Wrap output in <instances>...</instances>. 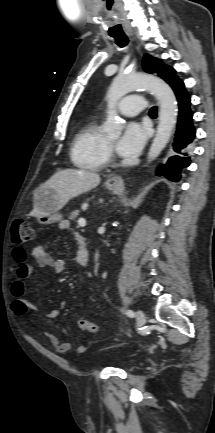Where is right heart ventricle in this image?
Wrapping results in <instances>:
<instances>
[{
  "mask_svg": "<svg viewBox=\"0 0 215 433\" xmlns=\"http://www.w3.org/2000/svg\"><path fill=\"white\" fill-rule=\"evenodd\" d=\"M71 159L80 168L100 170L108 161L107 138L100 129L99 120H87L74 137Z\"/></svg>",
  "mask_w": 215,
  "mask_h": 433,
  "instance_id": "right-heart-ventricle-1",
  "label": "right heart ventricle"
}]
</instances>
